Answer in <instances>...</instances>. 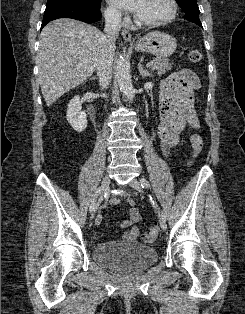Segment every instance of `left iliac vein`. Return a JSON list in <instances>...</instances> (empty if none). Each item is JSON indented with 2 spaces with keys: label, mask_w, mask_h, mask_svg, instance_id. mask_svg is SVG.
Listing matches in <instances>:
<instances>
[{
  "label": "left iliac vein",
  "mask_w": 245,
  "mask_h": 314,
  "mask_svg": "<svg viewBox=\"0 0 245 314\" xmlns=\"http://www.w3.org/2000/svg\"><path fill=\"white\" fill-rule=\"evenodd\" d=\"M130 186L133 187L134 189H136L137 191L141 192L142 191V186L141 183L138 179L134 178L130 181ZM159 224L162 230H165L167 225H166V221H164L161 216H160V220H159Z\"/></svg>",
  "instance_id": "obj_1"
}]
</instances>
